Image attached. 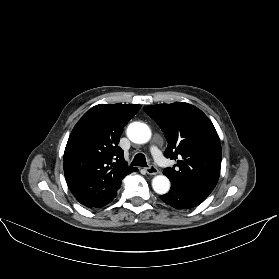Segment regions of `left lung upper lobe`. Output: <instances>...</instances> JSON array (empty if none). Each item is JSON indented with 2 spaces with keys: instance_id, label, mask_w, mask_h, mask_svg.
Masks as SVG:
<instances>
[{
  "instance_id": "1",
  "label": "left lung upper lobe",
  "mask_w": 279,
  "mask_h": 279,
  "mask_svg": "<svg viewBox=\"0 0 279 279\" xmlns=\"http://www.w3.org/2000/svg\"><path fill=\"white\" fill-rule=\"evenodd\" d=\"M145 112L160 126L168 146L165 157L177 160L166 168L171 184L208 196L221 167V143L209 118L188 103L146 106Z\"/></svg>"
}]
</instances>
